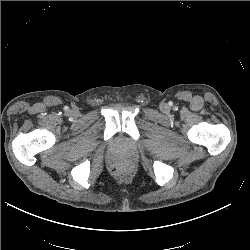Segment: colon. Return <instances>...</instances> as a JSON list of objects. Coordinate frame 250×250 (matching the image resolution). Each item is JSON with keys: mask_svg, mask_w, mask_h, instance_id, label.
<instances>
[{"mask_svg": "<svg viewBox=\"0 0 250 250\" xmlns=\"http://www.w3.org/2000/svg\"><path fill=\"white\" fill-rule=\"evenodd\" d=\"M113 173L117 176H122L125 175L127 173L126 169L123 167H115L113 169Z\"/></svg>", "mask_w": 250, "mask_h": 250, "instance_id": "colon-1", "label": "colon"}]
</instances>
